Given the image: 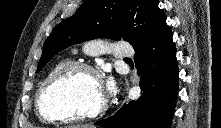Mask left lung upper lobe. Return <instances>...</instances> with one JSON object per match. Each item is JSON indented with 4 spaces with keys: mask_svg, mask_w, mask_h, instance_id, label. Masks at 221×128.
<instances>
[{
    "mask_svg": "<svg viewBox=\"0 0 221 128\" xmlns=\"http://www.w3.org/2000/svg\"><path fill=\"white\" fill-rule=\"evenodd\" d=\"M158 0H85L47 38L37 72L63 49L95 38L142 44L165 13Z\"/></svg>",
    "mask_w": 221,
    "mask_h": 128,
    "instance_id": "obj_1",
    "label": "left lung upper lobe"
}]
</instances>
